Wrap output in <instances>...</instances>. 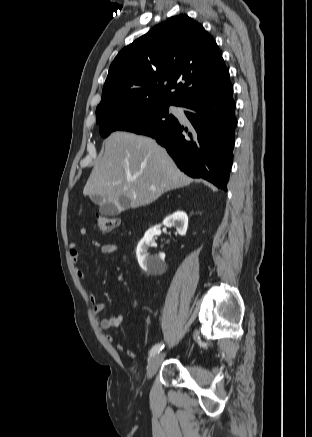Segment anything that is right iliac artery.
Returning <instances> with one entry per match:
<instances>
[{"label": "right iliac artery", "mask_w": 312, "mask_h": 437, "mask_svg": "<svg viewBox=\"0 0 312 437\" xmlns=\"http://www.w3.org/2000/svg\"><path fill=\"white\" fill-rule=\"evenodd\" d=\"M164 348V344L158 343L155 344L150 350V357H153L156 353H159Z\"/></svg>", "instance_id": "82829eb1"}]
</instances>
